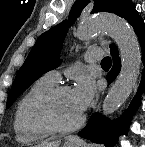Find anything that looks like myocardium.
<instances>
[{
  "instance_id": "1",
  "label": "myocardium",
  "mask_w": 145,
  "mask_h": 147,
  "mask_svg": "<svg viewBox=\"0 0 145 147\" xmlns=\"http://www.w3.org/2000/svg\"><path fill=\"white\" fill-rule=\"evenodd\" d=\"M67 85H55L49 90L37 96L32 102L30 114L33 120L41 123L52 133L68 134L82 126L85 120V115L82 114L80 118L72 125H62L54 117L52 106L54 101L63 93L70 91Z\"/></svg>"
}]
</instances>
